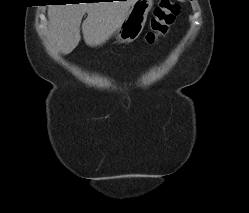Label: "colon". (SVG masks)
<instances>
[{
    "instance_id": "colon-1",
    "label": "colon",
    "mask_w": 249,
    "mask_h": 213,
    "mask_svg": "<svg viewBox=\"0 0 249 213\" xmlns=\"http://www.w3.org/2000/svg\"><path fill=\"white\" fill-rule=\"evenodd\" d=\"M180 5L174 0H160L153 10L150 30L145 36L148 45H155L159 39L167 35L170 26L180 14Z\"/></svg>"
}]
</instances>
